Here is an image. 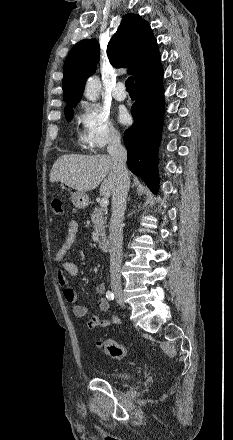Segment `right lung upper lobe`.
Here are the masks:
<instances>
[{"label":"right lung upper lobe","instance_id":"obj_1","mask_svg":"<svg viewBox=\"0 0 233 440\" xmlns=\"http://www.w3.org/2000/svg\"><path fill=\"white\" fill-rule=\"evenodd\" d=\"M107 55L112 65L128 67L134 75L135 84L143 80L160 64L157 41L151 27L139 15L123 16L117 32L107 46ZM99 60V46L93 39H85L73 46L64 63L62 81L63 100L66 107L76 105L82 97L85 82L95 72Z\"/></svg>","mask_w":233,"mask_h":440}]
</instances>
